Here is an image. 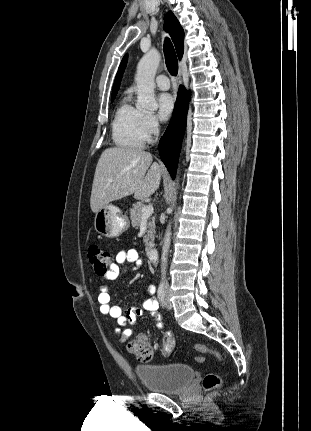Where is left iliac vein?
<instances>
[{"instance_id": "1", "label": "left iliac vein", "mask_w": 311, "mask_h": 431, "mask_svg": "<svg viewBox=\"0 0 311 431\" xmlns=\"http://www.w3.org/2000/svg\"><path fill=\"white\" fill-rule=\"evenodd\" d=\"M165 304H166V308H167V309H171L172 305H171V302L169 301V293H168V290L166 291Z\"/></svg>"}]
</instances>
